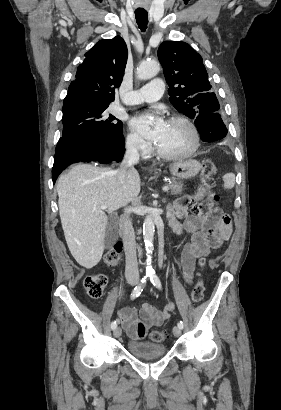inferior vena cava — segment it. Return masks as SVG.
I'll return each instance as SVG.
<instances>
[{"mask_svg":"<svg viewBox=\"0 0 281 410\" xmlns=\"http://www.w3.org/2000/svg\"><path fill=\"white\" fill-rule=\"evenodd\" d=\"M139 158L137 144L135 142L127 143L120 168L115 171L116 177L122 184L125 183L128 173L134 170V165L138 163ZM124 212L127 215L122 225V239L126 255L125 277L127 280L137 282L139 281V271L136 257L135 232L129 218L131 208L126 207Z\"/></svg>","mask_w":281,"mask_h":410,"instance_id":"1","label":"inferior vena cava"}]
</instances>
